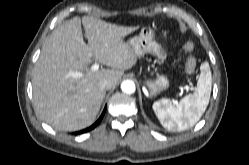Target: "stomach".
I'll use <instances>...</instances> for the list:
<instances>
[{
  "label": "stomach",
  "mask_w": 249,
  "mask_h": 165,
  "mask_svg": "<svg viewBox=\"0 0 249 165\" xmlns=\"http://www.w3.org/2000/svg\"><path fill=\"white\" fill-rule=\"evenodd\" d=\"M127 43L137 56L152 53L162 61L166 59L167 55L162 46L155 40V32L150 26L143 27L140 33ZM145 85L149 89L150 96L154 97L169 87V80L164 75H158L154 80H146Z\"/></svg>",
  "instance_id": "1"
}]
</instances>
